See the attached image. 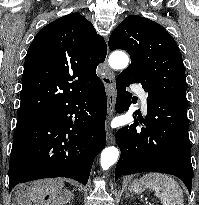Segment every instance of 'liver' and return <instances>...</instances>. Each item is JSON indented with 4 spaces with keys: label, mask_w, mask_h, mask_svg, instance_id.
<instances>
[{
    "label": "liver",
    "mask_w": 199,
    "mask_h": 205,
    "mask_svg": "<svg viewBox=\"0 0 199 205\" xmlns=\"http://www.w3.org/2000/svg\"><path fill=\"white\" fill-rule=\"evenodd\" d=\"M64 183L61 179L39 180L32 183L26 193L17 191L16 204L42 205L44 198L48 196V202L52 205H63L72 198V194L63 190Z\"/></svg>",
    "instance_id": "6515ba94"
}]
</instances>
